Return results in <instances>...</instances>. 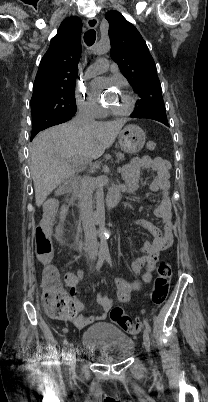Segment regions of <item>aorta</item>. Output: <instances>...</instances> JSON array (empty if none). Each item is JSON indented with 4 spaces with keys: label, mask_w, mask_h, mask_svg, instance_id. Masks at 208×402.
I'll return each mask as SVG.
<instances>
[{
    "label": "aorta",
    "mask_w": 208,
    "mask_h": 402,
    "mask_svg": "<svg viewBox=\"0 0 208 402\" xmlns=\"http://www.w3.org/2000/svg\"><path fill=\"white\" fill-rule=\"evenodd\" d=\"M104 192L105 186L103 182H100L97 191V198H96V222L98 223V233L100 234L101 242L99 243L100 248V255L102 258H109L111 255V249L109 247L108 241L105 239L107 235L105 231H107L108 226L105 217V204H104Z\"/></svg>",
    "instance_id": "obj_1"
}]
</instances>
